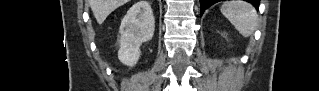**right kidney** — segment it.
I'll use <instances>...</instances> for the list:
<instances>
[{"label":"right kidney","mask_w":319,"mask_h":91,"mask_svg":"<svg viewBox=\"0 0 319 91\" xmlns=\"http://www.w3.org/2000/svg\"><path fill=\"white\" fill-rule=\"evenodd\" d=\"M154 29L151 6L146 0H140L128 10L121 22L119 60L127 66H134L140 57V45L152 39Z\"/></svg>","instance_id":"1"}]
</instances>
